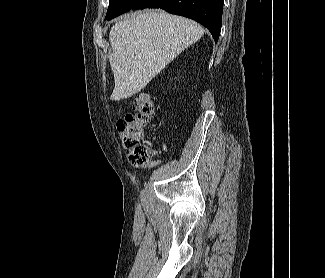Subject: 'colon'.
Returning <instances> with one entry per match:
<instances>
[{
	"mask_svg": "<svg viewBox=\"0 0 325 278\" xmlns=\"http://www.w3.org/2000/svg\"><path fill=\"white\" fill-rule=\"evenodd\" d=\"M153 114V100L146 94H140L132 99L131 112L117 123L122 143L128 150V160L137 168L146 165L151 155V150L144 143V139Z\"/></svg>",
	"mask_w": 325,
	"mask_h": 278,
	"instance_id": "5ec220e1",
	"label": "colon"
}]
</instances>
